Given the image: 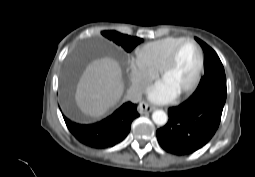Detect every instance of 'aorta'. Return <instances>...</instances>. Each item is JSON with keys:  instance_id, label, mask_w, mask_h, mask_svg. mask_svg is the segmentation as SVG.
<instances>
[{"instance_id": "1", "label": "aorta", "mask_w": 255, "mask_h": 177, "mask_svg": "<svg viewBox=\"0 0 255 177\" xmlns=\"http://www.w3.org/2000/svg\"><path fill=\"white\" fill-rule=\"evenodd\" d=\"M152 119L155 124L162 126L167 123L168 117L163 110H156L152 114Z\"/></svg>"}]
</instances>
